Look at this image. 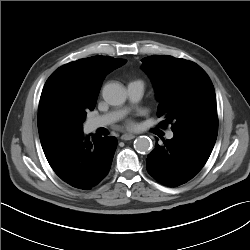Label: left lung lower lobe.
Returning a JSON list of instances; mask_svg holds the SVG:
<instances>
[{
  "instance_id": "0a47b994",
  "label": "left lung lower lobe",
  "mask_w": 250,
  "mask_h": 250,
  "mask_svg": "<svg viewBox=\"0 0 250 250\" xmlns=\"http://www.w3.org/2000/svg\"><path fill=\"white\" fill-rule=\"evenodd\" d=\"M218 128L174 132L171 140L156 143L148 155L147 171L161 184L176 187L192 179L205 165L216 142Z\"/></svg>"
}]
</instances>
